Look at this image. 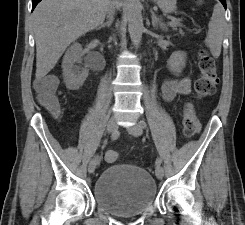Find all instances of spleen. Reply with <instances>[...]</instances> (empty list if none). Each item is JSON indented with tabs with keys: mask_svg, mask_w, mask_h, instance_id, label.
<instances>
[{
	"mask_svg": "<svg viewBox=\"0 0 245 225\" xmlns=\"http://www.w3.org/2000/svg\"><path fill=\"white\" fill-rule=\"evenodd\" d=\"M209 31L205 43L213 57H219L225 28L224 9L220 4L215 5L209 22Z\"/></svg>",
	"mask_w": 245,
	"mask_h": 225,
	"instance_id": "1",
	"label": "spleen"
}]
</instances>
